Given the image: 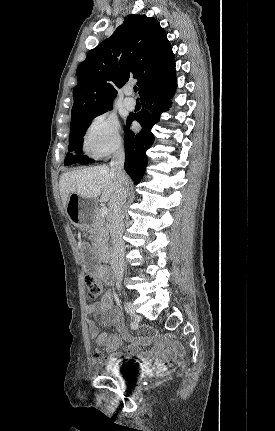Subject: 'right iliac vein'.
Wrapping results in <instances>:
<instances>
[{"label":"right iliac vein","mask_w":275,"mask_h":431,"mask_svg":"<svg viewBox=\"0 0 275 431\" xmlns=\"http://www.w3.org/2000/svg\"><path fill=\"white\" fill-rule=\"evenodd\" d=\"M125 309L126 311L131 315V316H135L136 312H135V307L131 302L126 301L124 303Z\"/></svg>","instance_id":"1"}]
</instances>
